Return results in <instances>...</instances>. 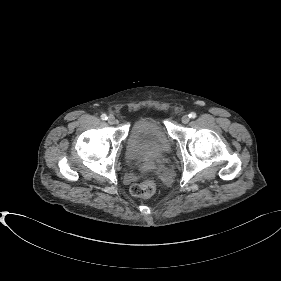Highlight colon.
<instances>
[{
    "label": "colon",
    "mask_w": 281,
    "mask_h": 281,
    "mask_svg": "<svg viewBox=\"0 0 281 281\" xmlns=\"http://www.w3.org/2000/svg\"><path fill=\"white\" fill-rule=\"evenodd\" d=\"M155 189V179L153 177L145 179L141 184L133 185L130 188V194L134 198L147 197L153 193Z\"/></svg>",
    "instance_id": "1"
}]
</instances>
